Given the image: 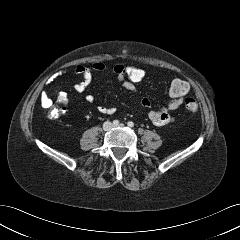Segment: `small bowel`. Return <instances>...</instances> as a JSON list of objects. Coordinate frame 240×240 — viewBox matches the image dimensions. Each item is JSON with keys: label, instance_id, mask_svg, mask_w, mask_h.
I'll list each match as a JSON object with an SVG mask.
<instances>
[{"label": "small bowel", "instance_id": "1", "mask_svg": "<svg viewBox=\"0 0 240 240\" xmlns=\"http://www.w3.org/2000/svg\"><path fill=\"white\" fill-rule=\"evenodd\" d=\"M105 70V65L101 61H96L92 64L91 67H87L82 64H78L72 68V73L75 75L81 76L82 80L77 82L73 89L77 93H83L87 90L89 85L93 79V73H102ZM113 74L115 75L116 79L121 83V85L129 92L136 93L137 87L129 82L124 75V65L121 63H116L113 66ZM94 96L92 94L85 95V100L88 103H92L94 101ZM41 105L44 108H50L52 106V99L43 92L40 97ZM56 101L63 106L68 105L69 98L67 93L59 92L57 94ZM182 104H184V98H171V100L166 103L165 105L154 108L149 111V119L151 122L156 126H163L166 125L174 120L172 112L177 110ZM141 105L145 108H151L152 103L149 98L143 97L141 99ZM97 110L102 114H113L116 111L115 107H107L104 105H99Z\"/></svg>", "mask_w": 240, "mask_h": 240}]
</instances>
